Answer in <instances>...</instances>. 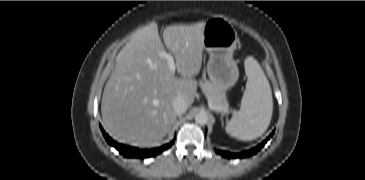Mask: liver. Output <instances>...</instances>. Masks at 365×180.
<instances>
[{
	"mask_svg": "<svg viewBox=\"0 0 365 180\" xmlns=\"http://www.w3.org/2000/svg\"><path fill=\"white\" fill-rule=\"evenodd\" d=\"M205 22L171 25L163 31L164 45L175 58L180 78L160 56L165 47L156 24L131 35L116 57V66L102 96L106 131L114 139L135 146H151L171 130L177 114L173 99L181 96L188 107L197 94L202 65Z\"/></svg>",
	"mask_w": 365,
	"mask_h": 180,
	"instance_id": "1",
	"label": "liver"
}]
</instances>
